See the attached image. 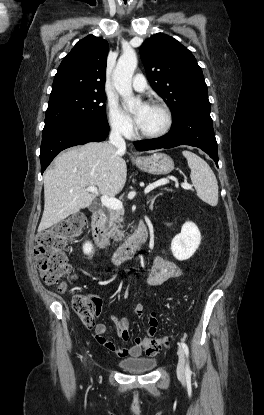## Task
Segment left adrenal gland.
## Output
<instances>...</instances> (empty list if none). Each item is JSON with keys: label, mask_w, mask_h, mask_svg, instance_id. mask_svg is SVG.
<instances>
[{"label": "left adrenal gland", "mask_w": 264, "mask_h": 415, "mask_svg": "<svg viewBox=\"0 0 264 415\" xmlns=\"http://www.w3.org/2000/svg\"><path fill=\"white\" fill-rule=\"evenodd\" d=\"M161 194H157V195H155L153 198H151V202H150V206H149V208H150V210H153V205H154V202H155V200H156V198L158 197V196H160Z\"/></svg>", "instance_id": "obj_1"}]
</instances>
